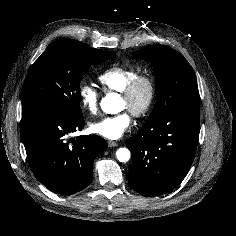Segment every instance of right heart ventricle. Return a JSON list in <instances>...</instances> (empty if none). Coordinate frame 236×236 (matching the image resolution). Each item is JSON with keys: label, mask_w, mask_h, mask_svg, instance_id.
Wrapping results in <instances>:
<instances>
[{"label": "right heart ventricle", "mask_w": 236, "mask_h": 236, "mask_svg": "<svg viewBox=\"0 0 236 236\" xmlns=\"http://www.w3.org/2000/svg\"><path fill=\"white\" fill-rule=\"evenodd\" d=\"M137 74L139 70L134 66L117 65L100 73L98 81L105 91L120 93Z\"/></svg>", "instance_id": "obj_1"}]
</instances>
